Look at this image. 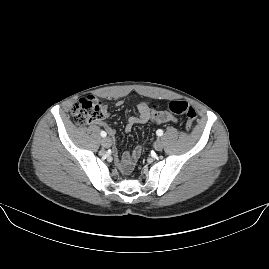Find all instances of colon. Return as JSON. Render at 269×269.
I'll use <instances>...</instances> for the list:
<instances>
[{
  "instance_id": "obj_1",
  "label": "colon",
  "mask_w": 269,
  "mask_h": 269,
  "mask_svg": "<svg viewBox=\"0 0 269 269\" xmlns=\"http://www.w3.org/2000/svg\"><path fill=\"white\" fill-rule=\"evenodd\" d=\"M167 108L176 115L187 117L186 131L189 133L197 116L192 106L185 101L173 100L167 104ZM71 116L78 125L98 122L103 118L102 103L93 96L80 98L73 106Z\"/></svg>"
}]
</instances>
